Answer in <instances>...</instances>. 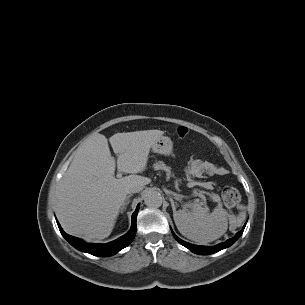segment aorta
I'll return each instance as SVG.
<instances>
[{"label":"aorta","mask_w":305,"mask_h":305,"mask_svg":"<svg viewBox=\"0 0 305 305\" xmlns=\"http://www.w3.org/2000/svg\"><path fill=\"white\" fill-rule=\"evenodd\" d=\"M144 202L149 208H159L162 205L163 198L157 191H148L144 197Z\"/></svg>","instance_id":"762f6f07"}]
</instances>
